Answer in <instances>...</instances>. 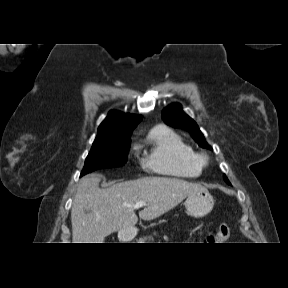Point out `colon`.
<instances>
[{
  "instance_id": "5ec220e1",
  "label": "colon",
  "mask_w": 288,
  "mask_h": 288,
  "mask_svg": "<svg viewBox=\"0 0 288 288\" xmlns=\"http://www.w3.org/2000/svg\"><path fill=\"white\" fill-rule=\"evenodd\" d=\"M230 236V227L227 224H221L217 232L209 238L210 242L222 243Z\"/></svg>"
}]
</instances>
